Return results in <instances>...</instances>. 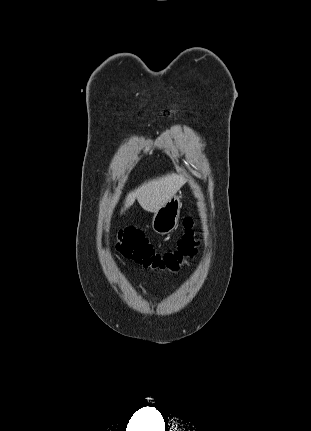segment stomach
Instances as JSON below:
<instances>
[{
    "label": "stomach",
    "instance_id": "stomach-1",
    "mask_svg": "<svg viewBox=\"0 0 311 431\" xmlns=\"http://www.w3.org/2000/svg\"><path fill=\"white\" fill-rule=\"evenodd\" d=\"M181 196H172L171 200L164 204L158 212H154L152 217V229L156 233H171L178 225L180 212H181Z\"/></svg>",
    "mask_w": 311,
    "mask_h": 431
}]
</instances>
